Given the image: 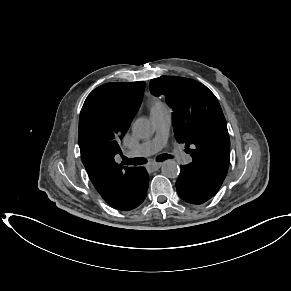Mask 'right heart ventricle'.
I'll use <instances>...</instances> for the list:
<instances>
[{
	"mask_svg": "<svg viewBox=\"0 0 291 291\" xmlns=\"http://www.w3.org/2000/svg\"><path fill=\"white\" fill-rule=\"evenodd\" d=\"M167 109L165 104L163 102H161L160 100L154 98L151 100L150 102V114L152 113H157L160 111H163Z\"/></svg>",
	"mask_w": 291,
	"mask_h": 291,
	"instance_id": "right-heart-ventricle-1",
	"label": "right heart ventricle"
}]
</instances>
